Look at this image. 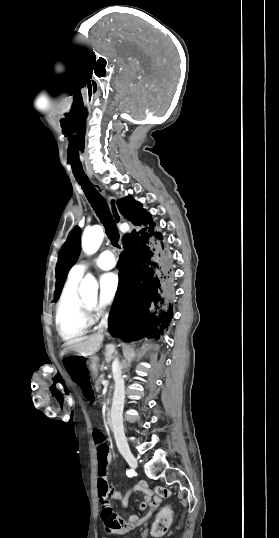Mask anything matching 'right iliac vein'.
Listing matches in <instances>:
<instances>
[{
    "mask_svg": "<svg viewBox=\"0 0 279 538\" xmlns=\"http://www.w3.org/2000/svg\"><path fill=\"white\" fill-rule=\"evenodd\" d=\"M123 456L125 458V460L127 461V463L130 465V467L136 469L137 466H138V463H137V460L136 458L133 456L132 453L130 452H125L123 453Z\"/></svg>",
    "mask_w": 279,
    "mask_h": 538,
    "instance_id": "63e3f726",
    "label": "right iliac vein"
}]
</instances>
